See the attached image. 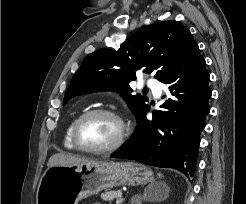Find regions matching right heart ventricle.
Instances as JSON below:
<instances>
[{
    "label": "right heart ventricle",
    "instance_id": "e07e8e85",
    "mask_svg": "<svg viewBox=\"0 0 246 204\" xmlns=\"http://www.w3.org/2000/svg\"><path fill=\"white\" fill-rule=\"evenodd\" d=\"M78 117H79V115H76L75 117H73L71 119V121L69 122V124L66 128L65 135H64V146L70 150L76 149L73 142H72V128H73V125H74V123Z\"/></svg>",
    "mask_w": 246,
    "mask_h": 204
}]
</instances>
